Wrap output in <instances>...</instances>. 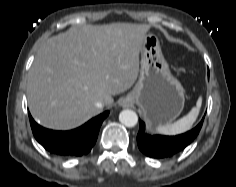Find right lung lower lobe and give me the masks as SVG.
Segmentation results:
<instances>
[{"mask_svg": "<svg viewBox=\"0 0 236 187\" xmlns=\"http://www.w3.org/2000/svg\"><path fill=\"white\" fill-rule=\"evenodd\" d=\"M108 114L106 111L70 131L46 129L37 124L30 114L29 118L34 137L48 152L62 157H79L90 152L97 140L100 126Z\"/></svg>", "mask_w": 236, "mask_h": 187, "instance_id": "1", "label": "right lung lower lobe"}]
</instances>
